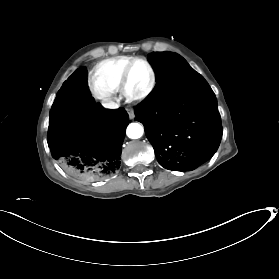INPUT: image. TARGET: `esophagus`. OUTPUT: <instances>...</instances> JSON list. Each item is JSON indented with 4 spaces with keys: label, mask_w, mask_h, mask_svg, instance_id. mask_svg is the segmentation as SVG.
<instances>
[{
    "label": "esophagus",
    "mask_w": 279,
    "mask_h": 279,
    "mask_svg": "<svg viewBox=\"0 0 279 279\" xmlns=\"http://www.w3.org/2000/svg\"><path fill=\"white\" fill-rule=\"evenodd\" d=\"M127 111H128L130 119H133L135 117L133 109L132 108H128Z\"/></svg>",
    "instance_id": "esophagus-1"
}]
</instances>
